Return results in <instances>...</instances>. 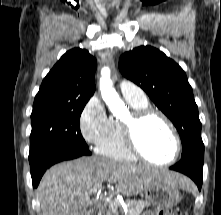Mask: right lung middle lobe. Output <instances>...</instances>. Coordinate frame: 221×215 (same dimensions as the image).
I'll list each match as a JSON object with an SVG mask.
<instances>
[{
	"label": "right lung middle lobe",
	"instance_id": "1",
	"mask_svg": "<svg viewBox=\"0 0 221 215\" xmlns=\"http://www.w3.org/2000/svg\"><path fill=\"white\" fill-rule=\"evenodd\" d=\"M86 103L49 101L33 105L29 161L54 147H88L80 131Z\"/></svg>",
	"mask_w": 221,
	"mask_h": 215
}]
</instances>
